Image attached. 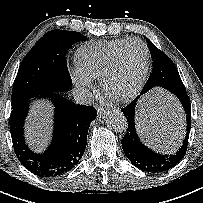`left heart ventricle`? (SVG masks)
I'll list each match as a JSON object with an SVG mask.
<instances>
[{
    "label": "left heart ventricle",
    "mask_w": 203,
    "mask_h": 203,
    "mask_svg": "<svg viewBox=\"0 0 203 203\" xmlns=\"http://www.w3.org/2000/svg\"><path fill=\"white\" fill-rule=\"evenodd\" d=\"M145 62V52L141 44L131 43L126 47L120 64L111 81V91L115 95L126 94L137 81Z\"/></svg>",
    "instance_id": "1"
}]
</instances>
